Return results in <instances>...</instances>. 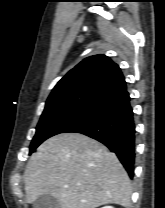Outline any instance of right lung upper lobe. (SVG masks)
I'll use <instances>...</instances> for the list:
<instances>
[{
	"label": "right lung upper lobe",
	"instance_id": "1",
	"mask_svg": "<svg viewBox=\"0 0 165 208\" xmlns=\"http://www.w3.org/2000/svg\"><path fill=\"white\" fill-rule=\"evenodd\" d=\"M124 90L126 82L118 65L105 55H94L81 61L57 83L45 107L60 104L96 105Z\"/></svg>",
	"mask_w": 165,
	"mask_h": 208
}]
</instances>
